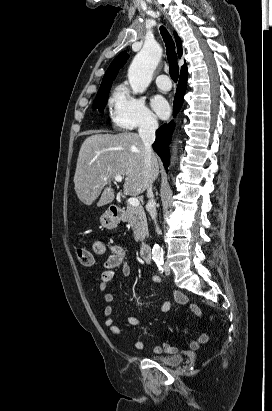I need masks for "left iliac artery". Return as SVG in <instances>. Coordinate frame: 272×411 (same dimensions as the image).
<instances>
[{
    "mask_svg": "<svg viewBox=\"0 0 272 411\" xmlns=\"http://www.w3.org/2000/svg\"><path fill=\"white\" fill-rule=\"evenodd\" d=\"M155 262H156V264H157V266H158L159 270H160V271H163V268H162V265H163V259L157 260V261H155Z\"/></svg>",
    "mask_w": 272,
    "mask_h": 411,
    "instance_id": "44dca946",
    "label": "left iliac artery"
}]
</instances>
